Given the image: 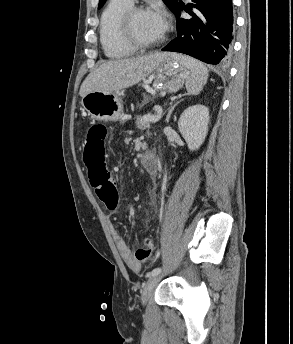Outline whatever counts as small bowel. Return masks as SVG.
Listing matches in <instances>:
<instances>
[{"instance_id": "c3829d8e", "label": "small bowel", "mask_w": 293, "mask_h": 344, "mask_svg": "<svg viewBox=\"0 0 293 344\" xmlns=\"http://www.w3.org/2000/svg\"><path fill=\"white\" fill-rule=\"evenodd\" d=\"M138 126L141 129L145 128V123L142 120L138 121ZM113 212L109 215V220L112 221ZM113 238L119 253L127 266L134 272H139L142 268L144 261H139L133 255L132 250L130 249L129 245L127 244L125 238L116 230L112 229Z\"/></svg>"}]
</instances>
